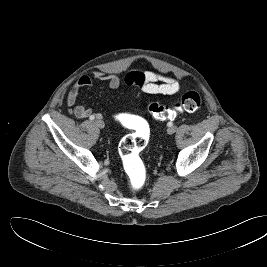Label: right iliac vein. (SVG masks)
Segmentation results:
<instances>
[{
  "label": "right iliac vein",
  "mask_w": 267,
  "mask_h": 267,
  "mask_svg": "<svg viewBox=\"0 0 267 267\" xmlns=\"http://www.w3.org/2000/svg\"><path fill=\"white\" fill-rule=\"evenodd\" d=\"M95 124L97 127L101 128V129L104 128V126H105L104 122L101 119L96 120Z\"/></svg>",
  "instance_id": "obj_1"
}]
</instances>
